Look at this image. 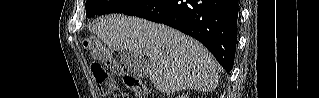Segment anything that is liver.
Wrapping results in <instances>:
<instances>
[{"label":"liver","instance_id":"6515ba94","mask_svg":"<svg viewBox=\"0 0 319 98\" xmlns=\"http://www.w3.org/2000/svg\"><path fill=\"white\" fill-rule=\"evenodd\" d=\"M111 50L136 58L147 55L145 73L156 90L170 94L183 89L210 92L218 86L219 66L197 40L142 18L113 14L90 27Z\"/></svg>","mask_w":319,"mask_h":98}]
</instances>
